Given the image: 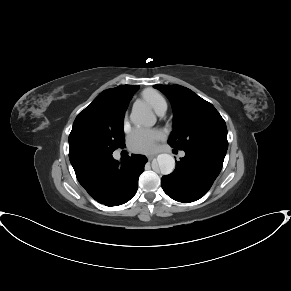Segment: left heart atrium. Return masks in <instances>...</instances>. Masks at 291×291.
Segmentation results:
<instances>
[{"label": "left heart atrium", "mask_w": 291, "mask_h": 291, "mask_svg": "<svg viewBox=\"0 0 291 291\" xmlns=\"http://www.w3.org/2000/svg\"><path fill=\"white\" fill-rule=\"evenodd\" d=\"M162 138L163 134L159 130L135 128L129 135L128 146L133 152L150 153Z\"/></svg>", "instance_id": "39dd6f15"}]
</instances>
